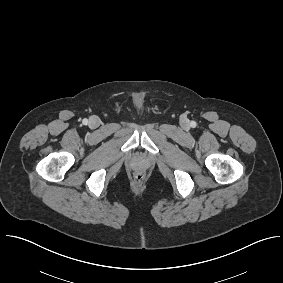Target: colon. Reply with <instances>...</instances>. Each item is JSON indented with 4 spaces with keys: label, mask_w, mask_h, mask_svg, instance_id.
Returning a JSON list of instances; mask_svg holds the SVG:
<instances>
[{
    "label": "colon",
    "mask_w": 283,
    "mask_h": 283,
    "mask_svg": "<svg viewBox=\"0 0 283 283\" xmlns=\"http://www.w3.org/2000/svg\"><path fill=\"white\" fill-rule=\"evenodd\" d=\"M144 174L142 172H137L134 176L136 182H142L144 180Z\"/></svg>",
    "instance_id": "obj_1"
}]
</instances>
